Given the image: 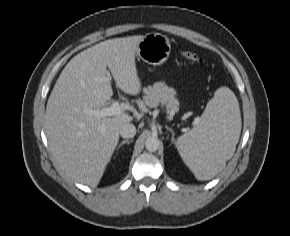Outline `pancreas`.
Masks as SVG:
<instances>
[{"mask_svg": "<svg viewBox=\"0 0 290 236\" xmlns=\"http://www.w3.org/2000/svg\"><path fill=\"white\" fill-rule=\"evenodd\" d=\"M142 107H157L159 104L164 105L169 113H175L179 110V101L175 97V90L168 87L165 83H156L144 89Z\"/></svg>", "mask_w": 290, "mask_h": 236, "instance_id": "1", "label": "pancreas"}]
</instances>
